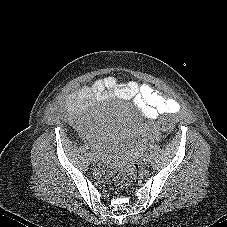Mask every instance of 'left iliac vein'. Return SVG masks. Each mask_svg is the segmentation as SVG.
Instances as JSON below:
<instances>
[{
    "mask_svg": "<svg viewBox=\"0 0 227 227\" xmlns=\"http://www.w3.org/2000/svg\"><path fill=\"white\" fill-rule=\"evenodd\" d=\"M151 159H152L151 154H150V153H146V154L144 155V157H143V162H144L145 164H147V163L151 162Z\"/></svg>",
    "mask_w": 227,
    "mask_h": 227,
    "instance_id": "obj_1",
    "label": "left iliac vein"
}]
</instances>
